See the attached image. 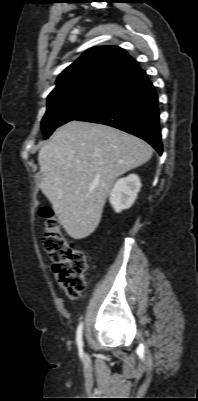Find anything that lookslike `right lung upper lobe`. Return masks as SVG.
<instances>
[{"instance_id":"1","label":"right lung upper lobe","mask_w":198,"mask_h":401,"mask_svg":"<svg viewBox=\"0 0 198 401\" xmlns=\"http://www.w3.org/2000/svg\"><path fill=\"white\" fill-rule=\"evenodd\" d=\"M140 66L123 49L98 46L86 51L57 78L48 98L85 87L110 88L135 73Z\"/></svg>"}]
</instances>
